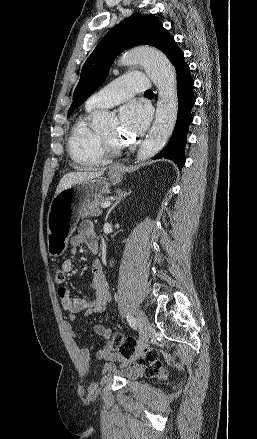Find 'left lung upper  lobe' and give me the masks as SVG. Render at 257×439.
<instances>
[{
    "mask_svg": "<svg viewBox=\"0 0 257 439\" xmlns=\"http://www.w3.org/2000/svg\"><path fill=\"white\" fill-rule=\"evenodd\" d=\"M173 41L174 38L154 15L133 14L116 25L85 61L68 116L103 83L112 61L122 51L143 44L152 45L166 55Z\"/></svg>",
    "mask_w": 257,
    "mask_h": 439,
    "instance_id": "obj_1",
    "label": "left lung upper lobe"
}]
</instances>
